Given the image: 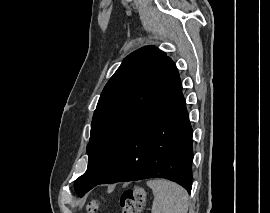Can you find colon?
I'll return each mask as SVG.
<instances>
[{"label":"colon","instance_id":"obj_1","mask_svg":"<svg viewBox=\"0 0 270 213\" xmlns=\"http://www.w3.org/2000/svg\"><path fill=\"white\" fill-rule=\"evenodd\" d=\"M146 200V191L142 187H135L125 190L120 197L121 213H141ZM98 202L91 201L87 205L88 213H96Z\"/></svg>","mask_w":270,"mask_h":213}]
</instances>
